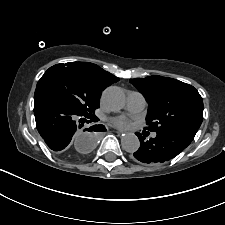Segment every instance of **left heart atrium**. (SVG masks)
<instances>
[{
    "label": "left heart atrium",
    "instance_id": "obj_1",
    "mask_svg": "<svg viewBox=\"0 0 225 225\" xmlns=\"http://www.w3.org/2000/svg\"><path fill=\"white\" fill-rule=\"evenodd\" d=\"M114 123L120 127V128H129L131 126V122L129 119L125 118V117H121V118H118L116 120H114Z\"/></svg>",
    "mask_w": 225,
    "mask_h": 225
}]
</instances>
